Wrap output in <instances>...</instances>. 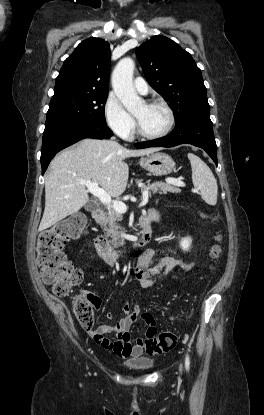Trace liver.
Returning <instances> with one entry per match:
<instances>
[{"label": "liver", "instance_id": "liver-1", "mask_svg": "<svg viewBox=\"0 0 264 415\" xmlns=\"http://www.w3.org/2000/svg\"><path fill=\"white\" fill-rule=\"evenodd\" d=\"M158 150L155 147L131 150L111 140L83 139L59 153L45 178V209L39 230L78 212L89 202L81 181L97 183L110 196L118 197L125 191L129 177L124 159Z\"/></svg>", "mask_w": 264, "mask_h": 415}]
</instances>
